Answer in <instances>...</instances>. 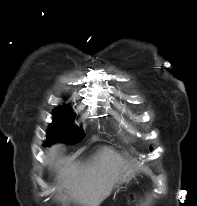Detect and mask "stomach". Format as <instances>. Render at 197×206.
<instances>
[{"label": "stomach", "instance_id": "1", "mask_svg": "<svg viewBox=\"0 0 197 206\" xmlns=\"http://www.w3.org/2000/svg\"><path fill=\"white\" fill-rule=\"evenodd\" d=\"M135 176V171L131 168H126L122 171L116 187L118 188L121 184L129 182Z\"/></svg>", "mask_w": 197, "mask_h": 206}]
</instances>
